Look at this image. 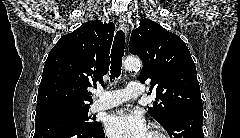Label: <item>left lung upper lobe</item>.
<instances>
[{
    "mask_svg": "<svg viewBox=\"0 0 240 138\" xmlns=\"http://www.w3.org/2000/svg\"><path fill=\"white\" fill-rule=\"evenodd\" d=\"M129 51L143 62L140 80L150 81V93L156 91L160 102L154 101L148 111L163 127L179 113L202 109L196 67L180 37L152 20L141 19L132 32Z\"/></svg>",
    "mask_w": 240,
    "mask_h": 138,
    "instance_id": "1",
    "label": "left lung upper lobe"
}]
</instances>
